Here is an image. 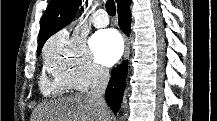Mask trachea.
Wrapping results in <instances>:
<instances>
[{"label": "trachea", "instance_id": "1", "mask_svg": "<svg viewBox=\"0 0 217 121\" xmlns=\"http://www.w3.org/2000/svg\"><path fill=\"white\" fill-rule=\"evenodd\" d=\"M106 11L110 16H115L116 14V6L113 0H108L106 2Z\"/></svg>", "mask_w": 217, "mask_h": 121}]
</instances>
